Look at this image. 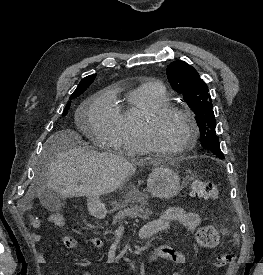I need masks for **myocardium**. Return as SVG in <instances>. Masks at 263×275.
<instances>
[{
  "label": "myocardium",
  "mask_w": 263,
  "mask_h": 275,
  "mask_svg": "<svg viewBox=\"0 0 263 275\" xmlns=\"http://www.w3.org/2000/svg\"><path fill=\"white\" fill-rule=\"evenodd\" d=\"M168 115H179L183 117L189 125V134L186 141L176 149H164L156 144L153 136V128L155 123ZM142 136L148 150L154 154L161 156H176L191 149L197 141L199 134L198 123L194 115L187 109L171 104H163L148 111L142 120Z\"/></svg>",
  "instance_id": "obj_1"
}]
</instances>
